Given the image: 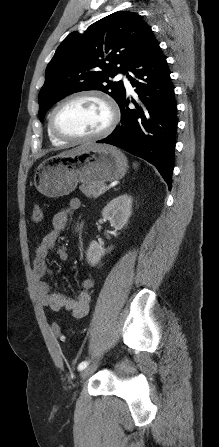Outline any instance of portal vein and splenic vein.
<instances>
[{"label":"portal vein and splenic vein","instance_id":"portal-vein-and-splenic-vein-1","mask_svg":"<svg viewBox=\"0 0 219 447\" xmlns=\"http://www.w3.org/2000/svg\"><path fill=\"white\" fill-rule=\"evenodd\" d=\"M106 188L105 187H103L101 190H105Z\"/></svg>","mask_w":219,"mask_h":447}]
</instances>
